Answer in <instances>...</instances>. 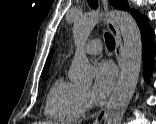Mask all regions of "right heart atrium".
<instances>
[{"label":"right heart atrium","mask_w":156,"mask_h":124,"mask_svg":"<svg viewBox=\"0 0 156 124\" xmlns=\"http://www.w3.org/2000/svg\"><path fill=\"white\" fill-rule=\"evenodd\" d=\"M92 106V97L86 90H81L79 96V111L80 115L86 113Z\"/></svg>","instance_id":"obj_1"}]
</instances>
